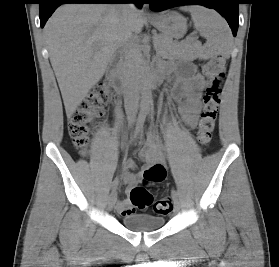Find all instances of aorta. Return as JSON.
<instances>
[{"instance_id": "762f6f07", "label": "aorta", "mask_w": 279, "mask_h": 267, "mask_svg": "<svg viewBox=\"0 0 279 267\" xmlns=\"http://www.w3.org/2000/svg\"><path fill=\"white\" fill-rule=\"evenodd\" d=\"M150 101H151V92H150L149 82L145 80L143 92H142V106L145 109H148L150 107Z\"/></svg>"}]
</instances>
